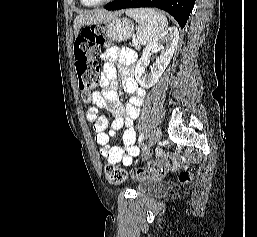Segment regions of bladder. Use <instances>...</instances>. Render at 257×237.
Returning a JSON list of instances; mask_svg holds the SVG:
<instances>
[{
    "instance_id": "obj_1",
    "label": "bladder",
    "mask_w": 257,
    "mask_h": 237,
    "mask_svg": "<svg viewBox=\"0 0 257 237\" xmlns=\"http://www.w3.org/2000/svg\"><path fill=\"white\" fill-rule=\"evenodd\" d=\"M136 190L143 194H157L161 191L159 182L155 180H143L136 185Z\"/></svg>"
}]
</instances>
